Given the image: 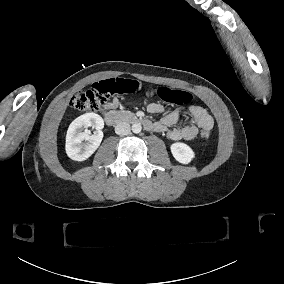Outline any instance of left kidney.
Masks as SVG:
<instances>
[{
    "label": "left kidney",
    "mask_w": 284,
    "mask_h": 284,
    "mask_svg": "<svg viewBox=\"0 0 284 284\" xmlns=\"http://www.w3.org/2000/svg\"><path fill=\"white\" fill-rule=\"evenodd\" d=\"M173 158L182 165H188L195 159V151L183 142H174L170 145Z\"/></svg>",
    "instance_id": "left-kidney-1"
}]
</instances>
